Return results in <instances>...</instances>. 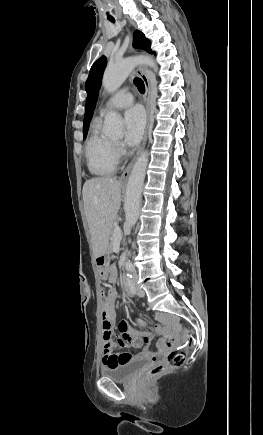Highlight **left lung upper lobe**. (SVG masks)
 <instances>
[{"label":"left lung upper lobe","instance_id":"1","mask_svg":"<svg viewBox=\"0 0 263 435\" xmlns=\"http://www.w3.org/2000/svg\"><path fill=\"white\" fill-rule=\"evenodd\" d=\"M151 42L145 38L144 34L138 30L134 32V47L146 50L149 53H153L150 49ZM106 57H100L91 67L88 79L85 83V89L87 92L86 99V111L84 117L83 134L84 139L87 136V131L89 128V123L93 116V111L98 98V93L101 85V78L106 67Z\"/></svg>","mask_w":263,"mask_h":435}]
</instances>
